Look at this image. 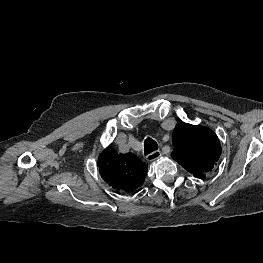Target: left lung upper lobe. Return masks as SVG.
I'll return each mask as SVG.
<instances>
[{
	"mask_svg": "<svg viewBox=\"0 0 263 263\" xmlns=\"http://www.w3.org/2000/svg\"><path fill=\"white\" fill-rule=\"evenodd\" d=\"M171 157L196 178L212 171L221 155L217 135L209 128L179 121L173 130Z\"/></svg>",
	"mask_w": 263,
	"mask_h": 263,
	"instance_id": "left-lung-upper-lobe-1",
	"label": "left lung upper lobe"
}]
</instances>
